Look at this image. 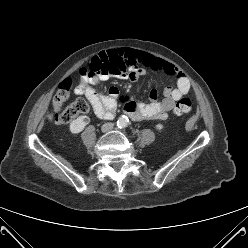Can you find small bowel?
<instances>
[{"instance_id":"small-bowel-1","label":"small bowel","mask_w":248,"mask_h":248,"mask_svg":"<svg viewBox=\"0 0 248 248\" xmlns=\"http://www.w3.org/2000/svg\"><path fill=\"white\" fill-rule=\"evenodd\" d=\"M110 54H115L124 61L125 70L89 75L87 73L88 67L82 68L81 81L74 89L76 95L84 96L90 102L95 115L101 119L114 117L119 89L112 86L109 88L107 95H102L92 85L109 78L136 81L146 76L147 72L150 71L152 73H163L176 80L175 87L171 85L164 87V98L160 101L157 100L158 91L155 89L150 92V103H139L129 99L124 105V111L133 121L166 119L168 112L173 109L175 103L189 92L190 83L187 77L174 65L160 58L131 49H119L103 53L95 58L96 60L105 59Z\"/></svg>"}]
</instances>
